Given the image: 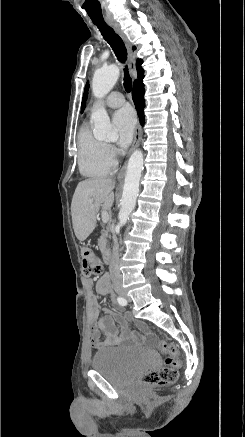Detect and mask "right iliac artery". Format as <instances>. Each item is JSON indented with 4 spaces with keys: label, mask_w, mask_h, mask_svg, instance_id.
<instances>
[{
    "label": "right iliac artery",
    "mask_w": 245,
    "mask_h": 437,
    "mask_svg": "<svg viewBox=\"0 0 245 437\" xmlns=\"http://www.w3.org/2000/svg\"><path fill=\"white\" fill-rule=\"evenodd\" d=\"M117 301H118V303H119L121 306H126V305H127V301H126V299H124L123 297H118V298H117Z\"/></svg>",
    "instance_id": "right-iliac-artery-1"
}]
</instances>
